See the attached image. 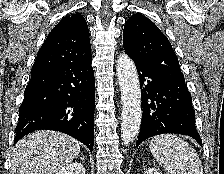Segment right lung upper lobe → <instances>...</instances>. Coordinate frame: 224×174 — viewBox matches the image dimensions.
Listing matches in <instances>:
<instances>
[{"label":"right lung upper lobe","instance_id":"right-lung-upper-lobe-1","mask_svg":"<svg viewBox=\"0 0 224 174\" xmlns=\"http://www.w3.org/2000/svg\"><path fill=\"white\" fill-rule=\"evenodd\" d=\"M90 58L87 22L82 15L73 14L64 17L51 30L38 52L31 74Z\"/></svg>","mask_w":224,"mask_h":174}]
</instances>
